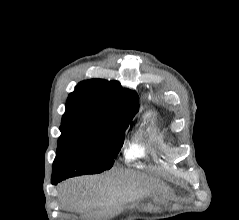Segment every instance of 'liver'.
Wrapping results in <instances>:
<instances>
[{
	"label": "liver",
	"mask_w": 239,
	"mask_h": 220,
	"mask_svg": "<svg viewBox=\"0 0 239 220\" xmlns=\"http://www.w3.org/2000/svg\"><path fill=\"white\" fill-rule=\"evenodd\" d=\"M154 188L152 180L133 170L111 175L70 179L59 187L62 204L71 210L105 208L118 202L143 196Z\"/></svg>",
	"instance_id": "obj_1"
}]
</instances>
